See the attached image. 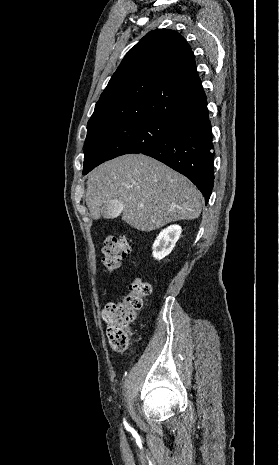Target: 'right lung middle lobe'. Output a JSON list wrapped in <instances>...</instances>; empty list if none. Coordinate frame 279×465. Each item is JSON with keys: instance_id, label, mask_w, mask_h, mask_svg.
<instances>
[{"instance_id": "obj_1", "label": "right lung middle lobe", "mask_w": 279, "mask_h": 465, "mask_svg": "<svg viewBox=\"0 0 279 465\" xmlns=\"http://www.w3.org/2000/svg\"><path fill=\"white\" fill-rule=\"evenodd\" d=\"M174 126V121L136 118L88 129L83 173L117 156L141 153L164 139Z\"/></svg>"}]
</instances>
